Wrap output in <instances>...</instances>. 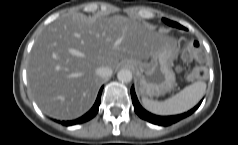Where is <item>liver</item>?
Instances as JSON below:
<instances>
[{
  "label": "liver",
  "instance_id": "6515ba94",
  "mask_svg": "<svg viewBox=\"0 0 238 145\" xmlns=\"http://www.w3.org/2000/svg\"><path fill=\"white\" fill-rule=\"evenodd\" d=\"M167 41L125 16L66 14L35 40L27 67L31 94L46 115L77 118L90 109L102 83L97 68L115 69L128 59H148Z\"/></svg>",
  "mask_w": 238,
  "mask_h": 145
}]
</instances>
